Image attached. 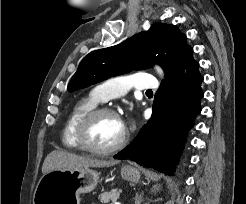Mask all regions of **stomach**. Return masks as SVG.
<instances>
[{"instance_id":"obj_1","label":"stomach","mask_w":246,"mask_h":204,"mask_svg":"<svg viewBox=\"0 0 246 204\" xmlns=\"http://www.w3.org/2000/svg\"><path fill=\"white\" fill-rule=\"evenodd\" d=\"M121 177L130 182H138L140 171L133 166H123ZM100 173L90 168L55 169L44 174L39 180L33 204H79L80 194L92 192Z\"/></svg>"}]
</instances>
